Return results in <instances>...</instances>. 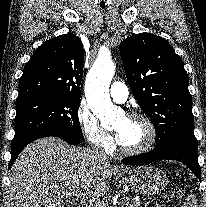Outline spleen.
Wrapping results in <instances>:
<instances>
[{
  "label": "spleen",
  "instance_id": "spleen-1",
  "mask_svg": "<svg viewBox=\"0 0 206 207\" xmlns=\"http://www.w3.org/2000/svg\"><path fill=\"white\" fill-rule=\"evenodd\" d=\"M182 207H198L197 198H196L195 194L189 195L186 198Z\"/></svg>",
  "mask_w": 206,
  "mask_h": 207
}]
</instances>
